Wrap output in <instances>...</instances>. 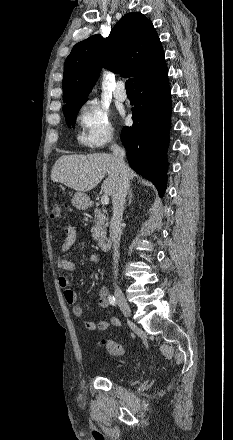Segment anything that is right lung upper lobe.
<instances>
[{
  "label": "right lung upper lobe",
  "instance_id": "right-lung-upper-lobe-1",
  "mask_svg": "<svg viewBox=\"0 0 233 440\" xmlns=\"http://www.w3.org/2000/svg\"><path fill=\"white\" fill-rule=\"evenodd\" d=\"M164 66L162 45L152 22L141 13H128L108 38L93 35L73 47L64 64L63 108L87 101L102 67L134 77L136 86Z\"/></svg>",
  "mask_w": 233,
  "mask_h": 440
}]
</instances>
